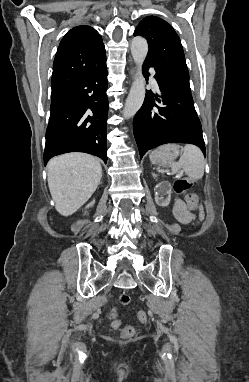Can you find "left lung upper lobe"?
<instances>
[{
  "instance_id": "left-lung-upper-lobe-1",
  "label": "left lung upper lobe",
  "mask_w": 249,
  "mask_h": 382,
  "mask_svg": "<svg viewBox=\"0 0 249 382\" xmlns=\"http://www.w3.org/2000/svg\"><path fill=\"white\" fill-rule=\"evenodd\" d=\"M137 35L147 39L146 59L152 61L161 73L190 89L183 48L173 27L159 17L149 16L135 29L134 36Z\"/></svg>"
}]
</instances>
